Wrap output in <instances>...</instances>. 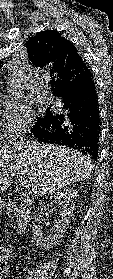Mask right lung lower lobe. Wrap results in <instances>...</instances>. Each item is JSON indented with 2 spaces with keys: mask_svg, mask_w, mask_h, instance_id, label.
Returning a JSON list of instances; mask_svg holds the SVG:
<instances>
[{
  "mask_svg": "<svg viewBox=\"0 0 113 279\" xmlns=\"http://www.w3.org/2000/svg\"><path fill=\"white\" fill-rule=\"evenodd\" d=\"M62 112L50 111L42 123L31 129L40 142L60 144L97 159L100 134L99 103L91 72L73 89L60 95Z\"/></svg>",
  "mask_w": 113,
  "mask_h": 279,
  "instance_id": "right-lung-lower-lobe-1",
  "label": "right lung lower lobe"
}]
</instances>
